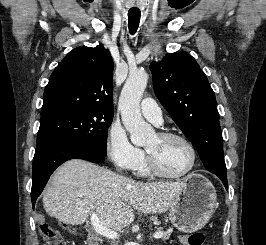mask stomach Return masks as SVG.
Masks as SVG:
<instances>
[{"label": "stomach", "instance_id": "0dacf381", "mask_svg": "<svg viewBox=\"0 0 266 245\" xmlns=\"http://www.w3.org/2000/svg\"><path fill=\"white\" fill-rule=\"evenodd\" d=\"M183 183L168 209V217L178 231L195 233L210 221L217 207V193L204 175L190 173Z\"/></svg>", "mask_w": 266, "mask_h": 245}]
</instances>
